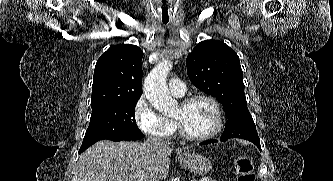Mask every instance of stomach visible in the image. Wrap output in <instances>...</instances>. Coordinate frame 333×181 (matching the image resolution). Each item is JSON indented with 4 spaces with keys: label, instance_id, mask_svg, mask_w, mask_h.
<instances>
[{
    "label": "stomach",
    "instance_id": "stomach-1",
    "mask_svg": "<svg viewBox=\"0 0 333 181\" xmlns=\"http://www.w3.org/2000/svg\"><path fill=\"white\" fill-rule=\"evenodd\" d=\"M179 161L182 166L197 175H206L212 168L211 161L207 157L191 152L181 154Z\"/></svg>",
    "mask_w": 333,
    "mask_h": 181
}]
</instances>
